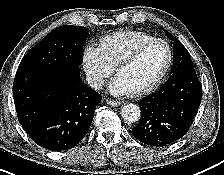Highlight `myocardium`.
<instances>
[{
  "label": "myocardium",
  "instance_id": "f54148a6",
  "mask_svg": "<svg viewBox=\"0 0 224 175\" xmlns=\"http://www.w3.org/2000/svg\"><path fill=\"white\" fill-rule=\"evenodd\" d=\"M154 43H161V44L165 45V47L167 49L166 62L164 64L162 70L160 71V73L156 76V78L151 83L131 92V94L134 96H140V95H144L146 93L151 92L163 80V78L167 74V72L172 64V59H173V53H172L170 44L166 40L160 39V38H152L150 40H147V41L141 43L140 45H138L135 49H133L116 66V74L118 75L122 69H124L125 67L132 64L148 46H150Z\"/></svg>",
  "mask_w": 224,
  "mask_h": 175
}]
</instances>
